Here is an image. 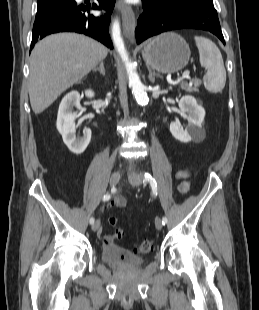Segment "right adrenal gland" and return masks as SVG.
Returning <instances> with one entry per match:
<instances>
[{"mask_svg": "<svg viewBox=\"0 0 259 310\" xmlns=\"http://www.w3.org/2000/svg\"><path fill=\"white\" fill-rule=\"evenodd\" d=\"M99 71L103 76L105 75L104 62H100L99 67L94 68L93 72Z\"/></svg>", "mask_w": 259, "mask_h": 310, "instance_id": "2a0ac1e0", "label": "right adrenal gland"}]
</instances>
